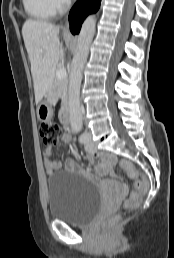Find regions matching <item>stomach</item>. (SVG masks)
<instances>
[{"mask_svg":"<svg viewBox=\"0 0 174 258\" xmlns=\"http://www.w3.org/2000/svg\"><path fill=\"white\" fill-rule=\"evenodd\" d=\"M51 90L45 95L44 100L37 107V116L40 121H49L53 115Z\"/></svg>","mask_w":174,"mask_h":258,"instance_id":"0dacf381","label":"stomach"}]
</instances>
